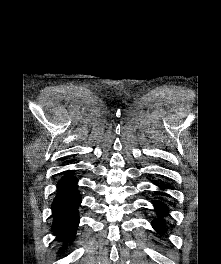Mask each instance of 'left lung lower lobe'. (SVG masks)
Returning <instances> with one entry per match:
<instances>
[{
    "label": "left lung lower lobe",
    "mask_w": 221,
    "mask_h": 264,
    "mask_svg": "<svg viewBox=\"0 0 221 264\" xmlns=\"http://www.w3.org/2000/svg\"><path fill=\"white\" fill-rule=\"evenodd\" d=\"M154 206H155V209L157 211V214L160 216H162L163 214H165L168 211V208L162 202H155ZM152 225H153L154 229H156L157 231H159L161 233L166 232L165 225H164L162 220L157 219L156 221L152 222Z\"/></svg>",
    "instance_id": "1"
}]
</instances>
